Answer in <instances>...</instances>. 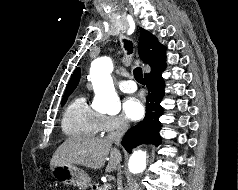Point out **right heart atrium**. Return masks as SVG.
Instances as JSON below:
<instances>
[{
	"label": "right heart atrium",
	"instance_id": "1",
	"mask_svg": "<svg viewBox=\"0 0 238 190\" xmlns=\"http://www.w3.org/2000/svg\"><path fill=\"white\" fill-rule=\"evenodd\" d=\"M127 119L122 115H102V131L106 133L125 130Z\"/></svg>",
	"mask_w": 238,
	"mask_h": 190
}]
</instances>
